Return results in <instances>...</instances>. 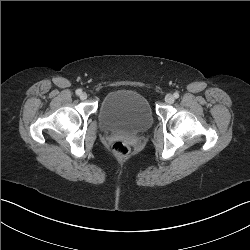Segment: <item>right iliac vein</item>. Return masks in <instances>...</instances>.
I'll return each mask as SVG.
<instances>
[{
	"instance_id": "obj_1",
	"label": "right iliac vein",
	"mask_w": 250,
	"mask_h": 250,
	"mask_svg": "<svg viewBox=\"0 0 250 250\" xmlns=\"http://www.w3.org/2000/svg\"><path fill=\"white\" fill-rule=\"evenodd\" d=\"M87 98V94L85 92L80 94V99L85 100Z\"/></svg>"
}]
</instances>
